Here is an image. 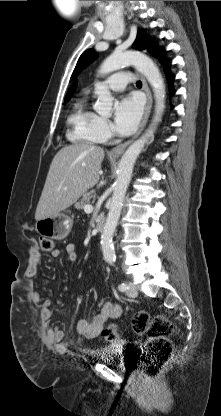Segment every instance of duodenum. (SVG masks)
<instances>
[{"mask_svg": "<svg viewBox=\"0 0 221 416\" xmlns=\"http://www.w3.org/2000/svg\"><path fill=\"white\" fill-rule=\"evenodd\" d=\"M105 217L104 216H99L96 220V230L98 233L103 232L104 228H105Z\"/></svg>", "mask_w": 221, "mask_h": 416, "instance_id": "obj_1", "label": "duodenum"}]
</instances>
